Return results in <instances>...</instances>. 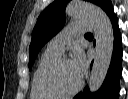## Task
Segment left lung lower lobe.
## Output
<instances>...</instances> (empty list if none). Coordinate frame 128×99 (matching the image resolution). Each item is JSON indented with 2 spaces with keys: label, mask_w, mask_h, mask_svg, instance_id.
Instances as JSON below:
<instances>
[{
  "label": "left lung lower lobe",
  "mask_w": 128,
  "mask_h": 99,
  "mask_svg": "<svg viewBox=\"0 0 128 99\" xmlns=\"http://www.w3.org/2000/svg\"><path fill=\"white\" fill-rule=\"evenodd\" d=\"M100 7L110 17L114 30V46L110 67L108 69V74L104 80V83L97 92L91 93L88 87H86L83 92L77 94L74 99H118V93L120 89L119 80L122 72L121 34L118 27V19L114 14L110 0H103Z\"/></svg>",
  "instance_id": "obj_1"
}]
</instances>
